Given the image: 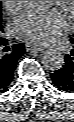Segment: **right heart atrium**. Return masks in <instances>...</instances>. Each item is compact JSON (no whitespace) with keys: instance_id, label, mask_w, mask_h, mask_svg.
Wrapping results in <instances>:
<instances>
[{"instance_id":"obj_1","label":"right heart atrium","mask_w":74,"mask_h":122,"mask_svg":"<svg viewBox=\"0 0 74 122\" xmlns=\"http://www.w3.org/2000/svg\"><path fill=\"white\" fill-rule=\"evenodd\" d=\"M3 7L8 14H17L22 7V1H2Z\"/></svg>"}]
</instances>
